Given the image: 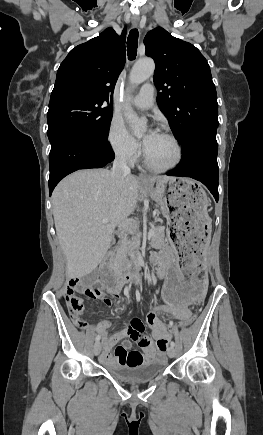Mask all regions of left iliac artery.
I'll return each instance as SVG.
<instances>
[{"label":"left iliac artery","instance_id":"left-iliac-artery-1","mask_svg":"<svg viewBox=\"0 0 263 435\" xmlns=\"http://www.w3.org/2000/svg\"><path fill=\"white\" fill-rule=\"evenodd\" d=\"M170 345H171V347H174V346H175V343L172 341V342L170 343Z\"/></svg>","mask_w":263,"mask_h":435}]
</instances>
